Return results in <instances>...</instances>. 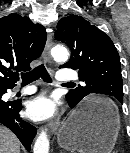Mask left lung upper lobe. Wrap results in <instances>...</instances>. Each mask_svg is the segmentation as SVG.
I'll return each mask as SVG.
<instances>
[{
  "label": "left lung upper lobe",
  "mask_w": 130,
  "mask_h": 153,
  "mask_svg": "<svg viewBox=\"0 0 130 153\" xmlns=\"http://www.w3.org/2000/svg\"><path fill=\"white\" fill-rule=\"evenodd\" d=\"M55 38L71 49L70 60L60 68L79 69L84 82L66 95L68 103L77 105L93 93L113 96L123 103L119 54L103 31L81 16L69 15L58 22Z\"/></svg>",
  "instance_id": "5c2ea615"
}]
</instances>
